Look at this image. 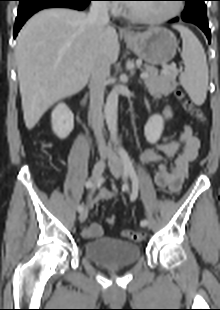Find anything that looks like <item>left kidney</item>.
Here are the masks:
<instances>
[{"instance_id": "5707ae66", "label": "left kidney", "mask_w": 220, "mask_h": 310, "mask_svg": "<svg viewBox=\"0 0 220 310\" xmlns=\"http://www.w3.org/2000/svg\"><path fill=\"white\" fill-rule=\"evenodd\" d=\"M163 128L164 121L160 115L149 118L144 128L146 140L151 144H155L160 139Z\"/></svg>"}]
</instances>
